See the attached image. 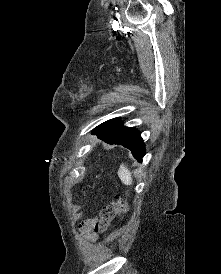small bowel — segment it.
<instances>
[{"instance_id":"c3829d8e","label":"small bowel","mask_w":221,"mask_h":274,"mask_svg":"<svg viewBox=\"0 0 221 274\" xmlns=\"http://www.w3.org/2000/svg\"><path fill=\"white\" fill-rule=\"evenodd\" d=\"M98 222L96 220H89L84 223L83 229L84 234L86 238L90 240H95L97 237V231H98Z\"/></svg>"}]
</instances>
